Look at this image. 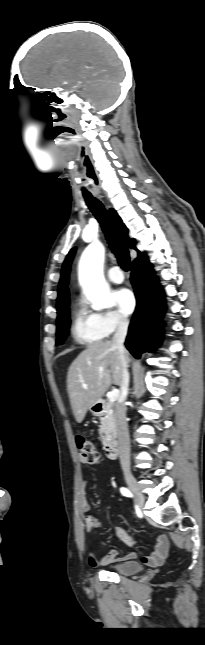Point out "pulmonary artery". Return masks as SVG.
I'll return each instance as SVG.
<instances>
[{
	"instance_id": "pulmonary-artery-1",
	"label": "pulmonary artery",
	"mask_w": 205,
	"mask_h": 645,
	"mask_svg": "<svg viewBox=\"0 0 205 645\" xmlns=\"http://www.w3.org/2000/svg\"><path fill=\"white\" fill-rule=\"evenodd\" d=\"M108 278L111 282L120 284L124 281V275L119 267L115 266L109 269Z\"/></svg>"
}]
</instances>
